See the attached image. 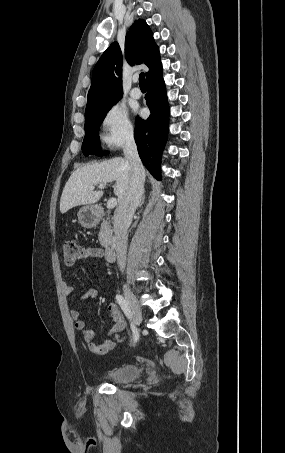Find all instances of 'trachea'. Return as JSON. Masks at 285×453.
<instances>
[{
  "mask_svg": "<svg viewBox=\"0 0 285 453\" xmlns=\"http://www.w3.org/2000/svg\"><path fill=\"white\" fill-rule=\"evenodd\" d=\"M139 85L140 86H146V80H145V75L144 73H141L139 75Z\"/></svg>",
  "mask_w": 285,
  "mask_h": 453,
  "instance_id": "obj_1",
  "label": "trachea"
}]
</instances>
